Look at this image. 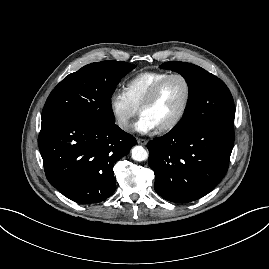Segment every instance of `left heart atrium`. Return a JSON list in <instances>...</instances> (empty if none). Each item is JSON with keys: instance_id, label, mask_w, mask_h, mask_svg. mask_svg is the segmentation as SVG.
Here are the masks:
<instances>
[{"instance_id": "39dd6f15", "label": "left heart atrium", "mask_w": 269, "mask_h": 269, "mask_svg": "<svg viewBox=\"0 0 269 269\" xmlns=\"http://www.w3.org/2000/svg\"><path fill=\"white\" fill-rule=\"evenodd\" d=\"M157 126L147 116L141 114L139 119L133 125V129L141 134H147L155 130Z\"/></svg>"}]
</instances>
